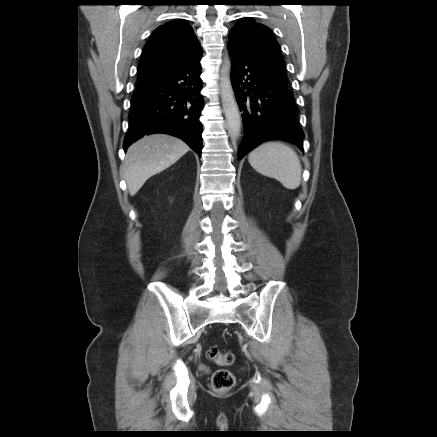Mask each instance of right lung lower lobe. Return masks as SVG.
I'll list each match as a JSON object with an SVG mask.
<instances>
[{"mask_svg":"<svg viewBox=\"0 0 437 437\" xmlns=\"http://www.w3.org/2000/svg\"><path fill=\"white\" fill-rule=\"evenodd\" d=\"M200 59L137 87L131 98L130 128L124 139V150L145 134L167 133L181 138L201 154Z\"/></svg>","mask_w":437,"mask_h":437,"instance_id":"1","label":"right lung lower lobe"}]
</instances>
